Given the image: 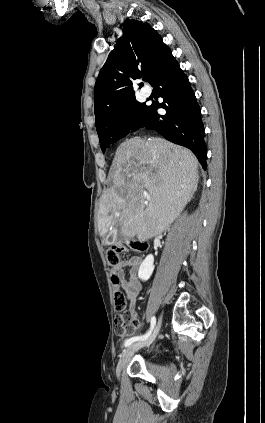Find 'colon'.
Returning <instances> with one entry per match:
<instances>
[{
  "mask_svg": "<svg viewBox=\"0 0 265 423\" xmlns=\"http://www.w3.org/2000/svg\"><path fill=\"white\" fill-rule=\"evenodd\" d=\"M128 249L136 252H143L146 249V243L138 240H128L125 242H116L106 252V261L110 266H116L120 263L121 255ZM117 282V280H115ZM115 308L120 313L116 318L115 331L119 336H123L133 330L134 313L126 310V301L120 291L114 295Z\"/></svg>",
  "mask_w": 265,
  "mask_h": 423,
  "instance_id": "obj_1",
  "label": "colon"
}]
</instances>
